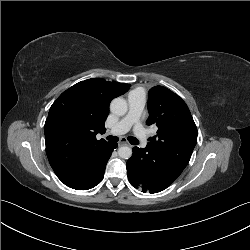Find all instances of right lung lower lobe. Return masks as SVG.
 Returning a JSON list of instances; mask_svg holds the SVG:
<instances>
[{"label": "right lung lower lobe", "mask_w": 250, "mask_h": 250, "mask_svg": "<svg viewBox=\"0 0 250 250\" xmlns=\"http://www.w3.org/2000/svg\"><path fill=\"white\" fill-rule=\"evenodd\" d=\"M116 147H117L116 143H108L106 146L102 148L94 165V176L92 177L89 183H87L81 188H78V190L91 189L102 181L107 161L109 160L112 151Z\"/></svg>", "instance_id": "1"}]
</instances>
